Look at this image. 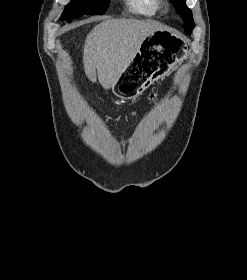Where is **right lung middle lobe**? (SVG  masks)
<instances>
[{
  "label": "right lung middle lobe",
  "instance_id": "right-lung-middle-lobe-1",
  "mask_svg": "<svg viewBox=\"0 0 247 280\" xmlns=\"http://www.w3.org/2000/svg\"><path fill=\"white\" fill-rule=\"evenodd\" d=\"M110 0H73L63 12L68 22L83 15H102Z\"/></svg>",
  "mask_w": 247,
  "mask_h": 280
}]
</instances>
